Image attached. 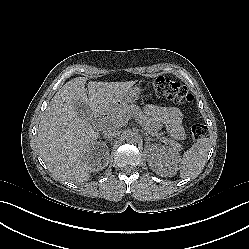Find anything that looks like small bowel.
I'll list each match as a JSON object with an SVG mask.
<instances>
[{"mask_svg":"<svg viewBox=\"0 0 249 249\" xmlns=\"http://www.w3.org/2000/svg\"><path fill=\"white\" fill-rule=\"evenodd\" d=\"M145 110L154 118L165 123L170 133L175 136H183L184 133L180 127L179 119L170 108L163 105H148Z\"/></svg>","mask_w":249,"mask_h":249,"instance_id":"1","label":"small bowel"}]
</instances>
